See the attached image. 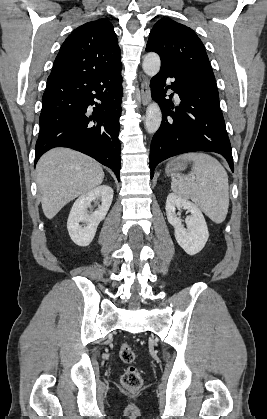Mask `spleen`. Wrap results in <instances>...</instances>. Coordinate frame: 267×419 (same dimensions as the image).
<instances>
[{
  "label": "spleen",
  "instance_id": "3e777b00",
  "mask_svg": "<svg viewBox=\"0 0 267 419\" xmlns=\"http://www.w3.org/2000/svg\"><path fill=\"white\" fill-rule=\"evenodd\" d=\"M176 161H193L190 174L172 175L171 189L179 197L191 199L214 223H222L229 207L228 175L214 157L206 153H188Z\"/></svg>",
  "mask_w": 267,
  "mask_h": 419
}]
</instances>
